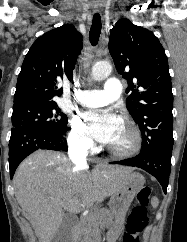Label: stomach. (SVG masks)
Wrapping results in <instances>:
<instances>
[{"label":"stomach","instance_id":"0dacf381","mask_svg":"<svg viewBox=\"0 0 187 242\" xmlns=\"http://www.w3.org/2000/svg\"><path fill=\"white\" fill-rule=\"evenodd\" d=\"M144 183L143 175L132 170L127 174L121 189L112 195L109 202L110 228L106 235L108 242H115L121 234L130 204Z\"/></svg>","mask_w":187,"mask_h":242}]
</instances>
